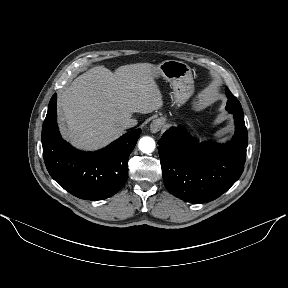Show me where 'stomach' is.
Instances as JSON below:
<instances>
[{
    "label": "stomach",
    "instance_id": "0dacf381",
    "mask_svg": "<svg viewBox=\"0 0 288 288\" xmlns=\"http://www.w3.org/2000/svg\"><path fill=\"white\" fill-rule=\"evenodd\" d=\"M154 77H163L173 88V99L176 107H181L194 93L193 77L190 67L177 60H166L154 66ZM159 120L165 122L166 118Z\"/></svg>",
    "mask_w": 288,
    "mask_h": 288
}]
</instances>
